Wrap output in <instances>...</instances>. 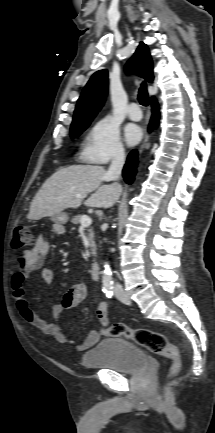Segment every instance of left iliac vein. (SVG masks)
I'll list each match as a JSON object with an SVG mask.
<instances>
[{"instance_id": "left-iliac-vein-1", "label": "left iliac vein", "mask_w": 215, "mask_h": 433, "mask_svg": "<svg viewBox=\"0 0 215 433\" xmlns=\"http://www.w3.org/2000/svg\"><path fill=\"white\" fill-rule=\"evenodd\" d=\"M117 298L124 304H130L129 296L125 292L117 293Z\"/></svg>"}]
</instances>
